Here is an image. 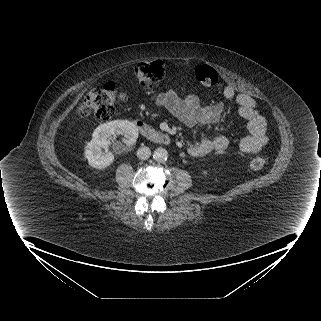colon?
Returning a JSON list of instances; mask_svg holds the SVG:
<instances>
[{"label":"colon","mask_w":321,"mask_h":321,"mask_svg":"<svg viewBox=\"0 0 321 321\" xmlns=\"http://www.w3.org/2000/svg\"><path fill=\"white\" fill-rule=\"evenodd\" d=\"M134 75L142 86L151 88L166 78L167 68L162 61L144 62L135 67ZM195 76L201 84L208 87H214L218 82L217 71L209 65L198 66ZM121 98L122 95L116 86L113 83H106L86 96L79 108V114L81 116L91 114L98 120H107L114 115L116 104ZM265 164L264 157H256L249 165L253 170H261Z\"/></svg>","instance_id":"obj_1"}]
</instances>
